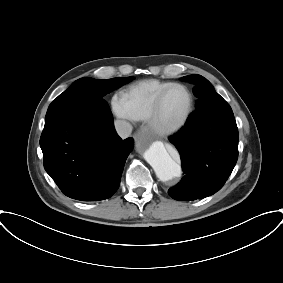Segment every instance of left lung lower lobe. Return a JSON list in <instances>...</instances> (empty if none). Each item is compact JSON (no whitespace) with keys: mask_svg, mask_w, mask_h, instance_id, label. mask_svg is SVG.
<instances>
[{"mask_svg":"<svg viewBox=\"0 0 283 283\" xmlns=\"http://www.w3.org/2000/svg\"><path fill=\"white\" fill-rule=\"evenodd\" d=\"M231 113L218 94L211 103L196 105L185 127L169 138L184 167L181 182L168 190L173 199L205 198L222 188L238 158V139L218 135L228 128Z\"/></svg>","mask_w":283,"mask_h":283,"instance_id":"left-lung-lower-lobe-1","label":"left lung lower lobe"}]
</instances>
